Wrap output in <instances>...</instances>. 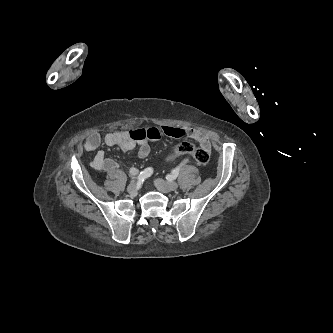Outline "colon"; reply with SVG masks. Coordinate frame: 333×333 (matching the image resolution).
<instances>
[{"label":"colon","mask_w":333,"mask_h":333,"mask_svg":"<svg viewBox=\"0 0 333 333\" xmlns=\"http://www.w3.org/2000/svg\"><path fill=\"white\" fill-rule=\"evenodd\" d=\"M176 154H191L193 156L194 161L198 165H205L210 158V154L207 150L203 148H197L192 143L184 141L181 142L175 150ZM173 156L168 158V161H171Z\"/></svg>","instance_id":"5ec220e1"}]
</instances>
